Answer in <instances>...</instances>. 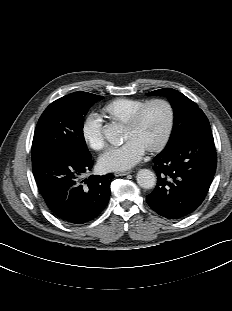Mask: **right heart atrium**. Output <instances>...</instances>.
I'll return each instance as SVG.
<instances>
[{
    "label": "right heart atrium",
    "mask_w": 232,
    "mask_h": 311,
    "mask_svg": "<svg viewBox=\"0 0 232 311\" xmlns=\"http://www.w3.org/2000/svg\"><path fill=\"white\" fill-rule=\"evenodd\" d=\"M85 142L94 150H101L106 144L105 128L102 119L96 113L89 114L82 125Z\"/></svg>",
    "instance_id": "right-heart-atrium-1"
}]
</instances>
